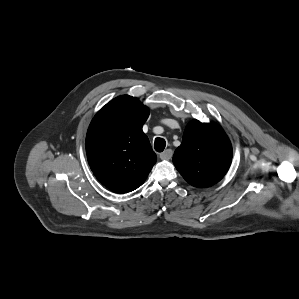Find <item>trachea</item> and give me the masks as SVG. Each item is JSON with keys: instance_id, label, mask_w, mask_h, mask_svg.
<instances>
[{"instance_id": "trachea-1", "label": "trachea", "mask_w": 299, "mask_h": 299, "mask_svg": "<svg viewBox=\"0 0 299 299\" xmlns=\"http://www.w3.org/2000/svg\"><path fill=\"white\" fill-rule=\"evenodd\" d=\"M166 141L163 138H156L154 148L157 152H162L165 149Z\"/></svg>"}]
</instances>
